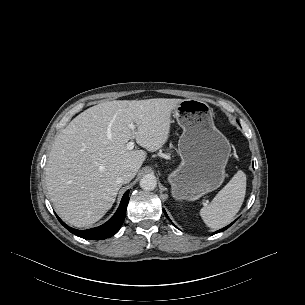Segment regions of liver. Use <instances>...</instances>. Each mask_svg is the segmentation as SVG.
<instances>
[{
	"mask_svg": "<svg viewBox=\"0 0 305 305\" xmlns=\"http://www.w3.org/2000/svg\"><path fill=\"white\" fill-rule=\"evenodd\" d=\"M181 101L114 100L76 116L56 137L45 167L48 195L60 217L78 228L100 220L121 188L119 171L137 173L146 158L143 150H128V141L135 139L150 152L160 149Z\"/></svg>",
	"mask_w": 305,
	"mask_h": 305,
	"instance_id": "6515ba94",
	"label": "liver"
}]
</instances>
